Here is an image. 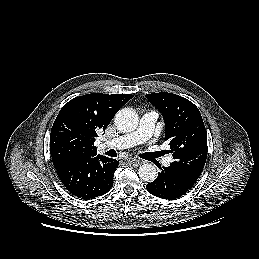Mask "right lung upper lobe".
<instances>
[{"label":"right lung upper lobe","instance_id":"1","mask_svg":"<svg viewBox=\"0 0 259 259\" xmlns=\"http://www.w3.org/2000/svg\"><path fill=\"white\" fill-rule=\"evenodd\" d=\"M131 94L92 93L76 97L60 110L50 134V154L55 168L75 159L97 155L98 133L105 131Z\"/></svg>","mask_w":259,"mask_h":259}]
</instances>
